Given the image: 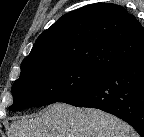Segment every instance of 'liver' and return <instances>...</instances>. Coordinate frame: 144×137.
<instances>
[{
    "label": "liver",
    "mask_w": 144,
    "mask_h": 137,
    "mask_svg": "<svg viewBox=\"0 0 144 137\" xmlns=\"http://www.w3.org/2000/svg\"><path fill=\"white\" fill-rule=\"evenodd\" d=\"M10 137H138L114 115L94 108L54 103L41 113L11 123Z\"/></svg>",
    "instance_id": "1"
}]
</instances>
